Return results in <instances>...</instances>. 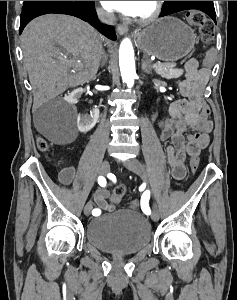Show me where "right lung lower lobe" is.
<instances>
[{"label": "right lung lower lobe", "instance_id": "obj_1", "mask_svg": "<svg viewBox=\"0 0 237 300\" xmlns=\"http://www.w3.org/2000/svg\"><path fill=\"white\" fill-rule=\"evenodd\" d=\"M50 13L67 14L89 22L106 37L116 40L115 30L112 26L101 24L93 6V1H41L22 9L20 29L22 33L25 26L34 18Z\"/></svg>", "mask_w": 237, "mask_h": 300}]
</instances>
